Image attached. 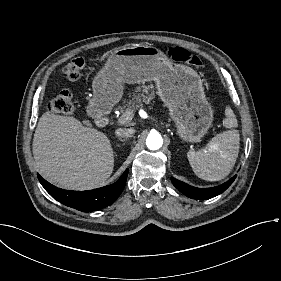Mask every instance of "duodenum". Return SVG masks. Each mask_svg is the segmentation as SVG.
Masks as SVG:
<instances>
[{
	"instance_id": "obj_1",
	"label": "duodenum",
	"mask_w": 281,
	"mask_h": 281,
	"mask_svg": "<svg viewBox=\"0 0 281 281\" xmlns=\"http://www.w3.org/2000/svg\"><path fill=\"white\" fill-rule=\"evenodd\" d=\"M111 121V118L108 114L103 113V114H98L95 117V124L98 127H105L106 125H108Z\"/></svg>"
}]
</instances>
